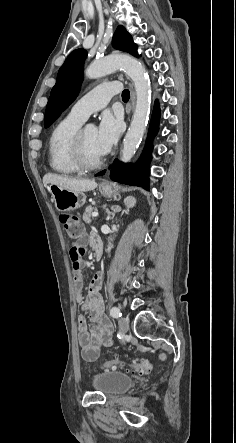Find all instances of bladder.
Returning a JSON list of instances; mask_svg holds the SVG:
<instances>
[{
    "label": "bladder",
    "mask_w": 236,
    "mask_h": 443,
    "mask_svg": "<svg viewBox=\"0 0 236 443\" xmlns=\"http://www.w3.org/2000/svg\"><path fill=\"white\" fill-rule=\"evenodd\" d=\"M91 385L98 391L114 395L127 391L133 385V378L122 372L107 371L94 375Z\"/></svg>",
    "instance_id": "bladder-1"
}]
</instances>
